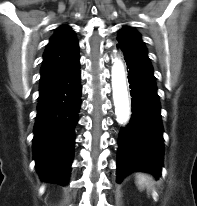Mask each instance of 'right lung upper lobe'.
Returning <instances> with one entry per match:
<instances>
[{
    "mask_svg": "<svg viewBox=\"0 0 197 206\" xmlns=\"http://www.w3.org/2000/svg\"><path fill=\"white\" fill-rule=\"evenodd\" d=\"M79 59V45L74 31L67 25L58 27L43 55L40 88L68 72Z\"/></svg>",
    "mask_w": 197,
    "mask_h": 206,
    "instance_id": "right-lung-upper-lobe-1",
    "label": "right lung upper lobe"
}]
</instances>
